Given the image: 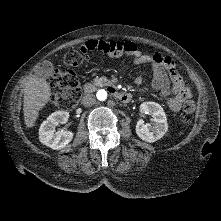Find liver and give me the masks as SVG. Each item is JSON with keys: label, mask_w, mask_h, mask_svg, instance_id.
<instances>
[{"label": "liver", "mask_w": 221, "mask_h": 221, "mask_svg": "<svg viewBox=\"0 0 221 221\" xmlns=\"http://www.w3.org/2000/svg\"><path fill=\"white\" fill-rule=\"evenodd\" d=\"M52 93L49 83L34 75H29L24 87V121L32 128L38 118L39 111L48 103Z\"/></svg>", "instance_id": "obj_1"}]
</instances>
